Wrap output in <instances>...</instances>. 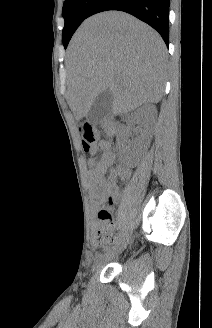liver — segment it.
I'll use <instances>...</instances> for the list:
<instances>
[{"mask_svg":"<svg viewBox=\"0 0 212 328\" xmlns=\"http://www.w3.org/2000/svg\"><path fill=\"white\" fill-rule=\"evenodd\" d=\"M67 101L80 121L95 98L109 90L112 112L128 113L162 98L166 46L138 19L107 11L86 19L67 52Z\"/></svg>","mask_w":212,"mask_h":328,"instance_id":"obj_1","label":"liver"}]
</instances>
